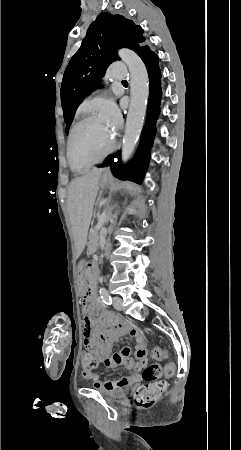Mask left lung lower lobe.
<instances>
[{
    "label": "left lung lower lobe",
    "mask_w": 241,
    "mask_h": 450,
    "mask_svg": "<svg viewBox=\"0 0 241 450\" xmlns=\"http://www.w3.org/2000/svg\"><path fill=\"white\" fill-rule=\"evenodd\" d=\"M143 60L149 76V101L146 113V123L141 136L139 148L130 162V164L123 168L120 164V151L108 156L104 163L98 167L110 166L112 173L120 179H128L142 182L144 174L150 158V149L153 144L154 135L156 132L155 124L158 118L159 104L161 100V72L158 65V56L151 50H146L140 55ZM115 159H118L115 162Z\"/></svg>",
    "instance_id": "0a47b994"
}]
</instances>
